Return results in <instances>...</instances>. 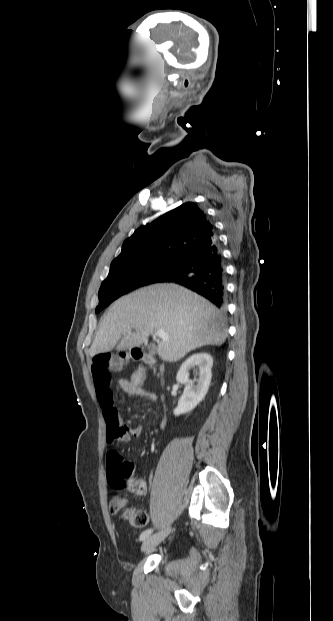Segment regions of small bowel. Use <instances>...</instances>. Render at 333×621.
Instances as JSON below:
<instances>
[{"instance_id": "c3829d8e", "label": "small bowel", "mask_w": 333, "mask_h": 621, "mask_svg": "<svg viewBox=\"0 0 333 621\" xmlns=\"http://www.w3.org/2000/svg\"><path fill=\"white\" fill-rule=\"evenodd\" d=\"M114 365V359L109 352L97 353L92 360L91 373L96 390L98 402L102 408L104 421L106 424V441L107 451V467L108 471L116 468L128 467L131 469V475L135 470V466L121 456L116 450V445L129 441L130 435L140 436L142 428L140 426L131 427L123 424L121 417L117 411L114 395L111 389L110 369ZM120 392L130 396L147 397L150 400H156L157 394L140 387L136 392H130L127 388L126 380H120L117 384ZM132 486L130 491L136 495L142 496L147 491L146 482L137 477H132Z\"/></svg>"}]
</instances>
